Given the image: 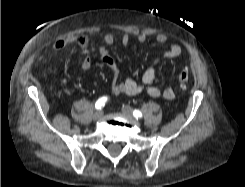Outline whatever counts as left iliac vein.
Wrapping results in <instances>:
<instances>
[{"label":"left iliac vein","mask_w":245,"mask_h":187,"mask_svg":"<svg viewBox=\"0 0 245 187\" xmlns=\"http://www.w3.org/2000/svg\"><path fill=\"white\" fill-rule=\"evenodd\" d=\"M122 113L126 116H132L133 110L130 106H124L122 107Z\"/></svg>","instance_id":"4c4485c4"}]
</instances>
